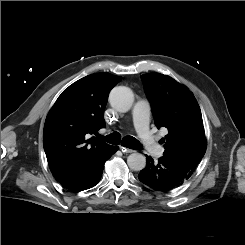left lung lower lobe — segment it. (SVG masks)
Here are the masks:
<instances>
[{
  "instance_id": "0a47b994",
  "label": "left lung lower lobe",
  "mask_w": 245,
  "mask_h": 245,
  "mask_svg": "<svg viewBox=\"0 0 245 245\" xmlns=\"http://www.w3.org/2000/svg\"><path fill=\"white\" fill-rule=\"evenodd\" d=\"M146 157V167L140 171L138 178L145 185L158 191H170L181 186L195 171L166 156L159 158L158 162H154L150 156Z\"/></svg>"
}]
</instances>
